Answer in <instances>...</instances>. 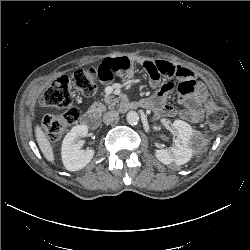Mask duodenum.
<instances>
[{
  "label": "duodenum",
  "instance_id": "410a0bca",
  "mask_svg": "<svg viewBox=\"0 0 250 250\" xmlns=\"http://www.w3.org/2000/svg\"><path fill=\"white\" fill-rule=\"evenodd\" d=\"M138 106H141L138 102L122 101L119 105V111L123 113ZM82 123L89 129L95 130L99 126V119L95 112L86 111L82 116Z\"/></svg>",
  "mask_w": 250,
  "mask_h": 250
}]
</instances>
